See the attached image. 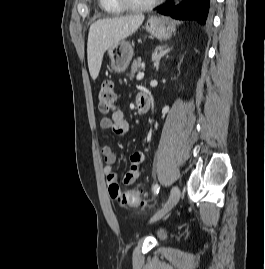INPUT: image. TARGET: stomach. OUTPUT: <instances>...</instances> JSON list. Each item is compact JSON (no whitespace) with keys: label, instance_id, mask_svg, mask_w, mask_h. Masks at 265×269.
<instances>
[{"label":"stomach","instance_id":"0dacf381","mask_svg":"<svg viewBox=\"0 0 265 269\" xmlns=\"http://www.w3.org/2000/svg\"><path fill=\"white\" fill-rule=\"evenodd\" d=\"M146 30L154 37L166 40L175 32L173 23L164 17H150L146 23ZM111 59V69L117 73L124 72L133 56V48L127 41H120L117 45L108 49Z\"/></svg>","mask_w":265,"mask_h":269}]
</instances>
